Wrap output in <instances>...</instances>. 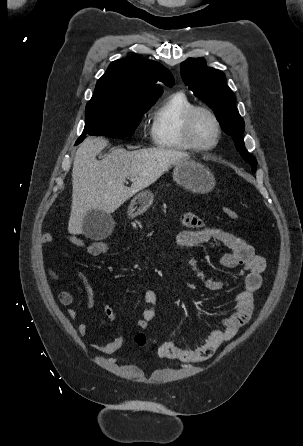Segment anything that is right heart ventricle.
<instances>
[{
  "instance_id": "obj_1",
  "label": "right heart ventricle",
  "mask_w": 303,
  "mask_h": 446,
  "mask_svg": "<svg viewBox=\"0 0 303 446\" xmlns=\"http://www.w3.org/2000/svg\"><path fill=\"white\" fill-rule=\"evenodd\" d=\"M195 105L182 91L170 94L153 114L150 137L154 146L168 150H190L182 135L185 114Z\"/></svg>"
}]
</instances>
